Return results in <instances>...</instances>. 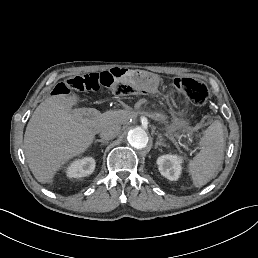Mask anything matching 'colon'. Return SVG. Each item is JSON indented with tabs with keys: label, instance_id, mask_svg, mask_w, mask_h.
Listing matches in <instances>:
<instances>
[{
	"label": "colon",
	"instance_id": "colon-1",
	"mask_svg": "<svg viewBox=\"0 0 258 258\" xmlns=\"http://www.w3.org/2000/svg\"><path fill=\"white\" fill-rule=\"evenodd\" d=\"M174 86L183 92L187 98L196 105H202L209 97L207 86L193 78L179 77L174 80ZM71 90L76 91H100L107 90L118 96L140 94L142 90L138 84L130 81L113 82L106 76V72L90 73L81 76H75L58 83L54 88L55 95H66ZM218 118L214 116H205L202 124L217 122Z\"/></svg>",
	"mask_w": 258,
	"mask_h": 258
}]
</instances>
